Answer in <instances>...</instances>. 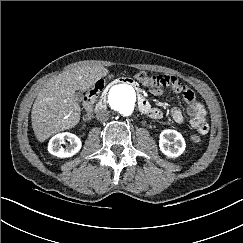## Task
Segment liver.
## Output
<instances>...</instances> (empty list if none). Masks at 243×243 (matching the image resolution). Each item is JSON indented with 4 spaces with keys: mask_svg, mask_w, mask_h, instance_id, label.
<instances>
[{
    "mask_svg": "<svg viewBox=\"0 0 243 243\" xmlns=\"http://www.w3.org/2000/svg\"><path fill=\"white\" fill-rule=\"evenodd\" d=\"M108 72L101 66H78L44 83L31 111L32 128L37 140L44 142L60 131L75 127L81 114L75 92L87 91Z\"/></svg>",
    "mask_w": 243,
    "mask_h": 243,
    "instance_id": "6515ba94",
    "label": "liver"
}]
</instances>
